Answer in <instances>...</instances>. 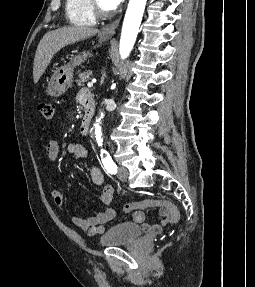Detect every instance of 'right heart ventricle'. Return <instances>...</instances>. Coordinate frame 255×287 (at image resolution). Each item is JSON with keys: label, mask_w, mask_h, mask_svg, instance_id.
<instances>
[{"label": "right heart ventricle", "mask_w": 255, "mask_h": 287, "mask_svg": "<svg viewBox=\"0 0 255 287\" xmlns=\"http://www.w3.org/2000/svg\"><path fill=\"white\" fill-rule=\"evenodd\" d=\"M77 33H89V32H77ZM98 33V32H93ZM89 39H106V38H89ZM99 48H107V47H99Z\"/></svg>", "instance_id": "obj_1"}]
</instances>
